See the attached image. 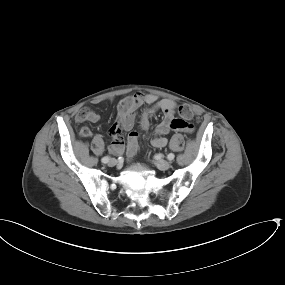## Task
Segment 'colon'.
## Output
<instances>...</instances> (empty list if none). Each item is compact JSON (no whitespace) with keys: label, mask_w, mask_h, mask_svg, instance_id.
Returning <instances> with one entry per match:
<instances>
[{"label":"colon","mask_w":285,"mask_h":285,"mask_svg":"<svg viewBox=\"0 0 285 285\" xmlns=\"http://www.w3.org/2000/svg\"><path fill=\"white\" fill-rule=\"evenodd\" d=\"M179 115L184 119V120H190L193 117V109L190 105L183 104L178 108ZM188 131L192 130V126L188 125L187 127Z\"/></svg>","instance_id":"colon-1"}]
</instances>
